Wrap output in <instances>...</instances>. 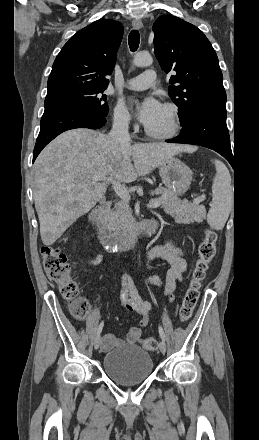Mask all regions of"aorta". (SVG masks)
Wrapping results in <instances>:
<instances>
[{
	"mask_svg": "<svg viewBox=\"0 0 259 440\" xmlns=\"http://www.w3.org/2000/svg\"><path fill=\"white\" fill-rule=\"evenodd\" d=\"M153 59L148 53H137L134 56L133 64L137 67H147L152 65Z\"/></svg>",
	"mask_w": 259,
	"mask_h": 440,
	"instance_id": "1",
	"label": "aorta"
}]
</instances>
